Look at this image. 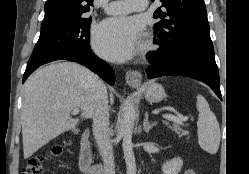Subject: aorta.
<instances>
[{
    "instance_id": "aorta-1",
    "label": "aorta",
    "mask_w": 249,
    "mask_h": 174,
    "mask_svg": "<svg viewBox=\"0 0 249 174\" xmlns=\"http://www.w3.org/2000/svg\"><path fill=\"white\" fill-rule=\"evenodd\" d=\"M136 117L135 105L128 98L122 109L121 134L123 136V152L127 166V174H136V163L132 147V134Z\"/></svg>"
}]
</instances>
